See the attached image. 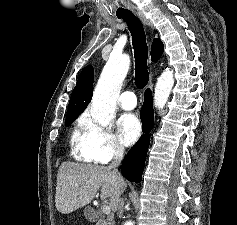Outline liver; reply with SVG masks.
<instances>
[{
    "label": "liver",
    "mask_w": 237,
    "mask_h": 225,
    "mask_svg": "<svg viewBox=\"0 0 237 225\" xmlns=\"http://www.w3.org/2000/svg\"><path fill=\"white\" fill-rule=\"evenodd\" d=\"M101 187V199L110 198V208L117 209L120 195L126 187L119 183L105 166L63 162L57 174L56 209L69 214L91 203Z\"/></svg>",
    "instance_id": "1"
}]
</instances>
